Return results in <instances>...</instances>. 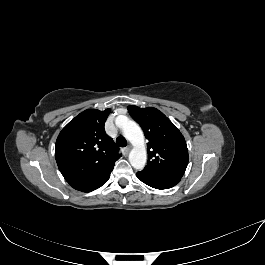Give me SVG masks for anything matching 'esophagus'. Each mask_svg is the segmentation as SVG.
I'll return each instance as SVG.
<instances>
[{"mask_svg": "<svg viewBox=\"0 0 265 265\" xmlns=\"http://www.w3.org/2000/svg\"><path fill=\"white\" fill-rule=\"evenodd\" d=\"M124 150H125L126 153H129L130 150H131V145H128L127 147H125Z\"/></svg>", "mask_w": 265, "mask_h": 265, "instance_id": "esophagus-1", "label": "esophagus"}]
</instances>
